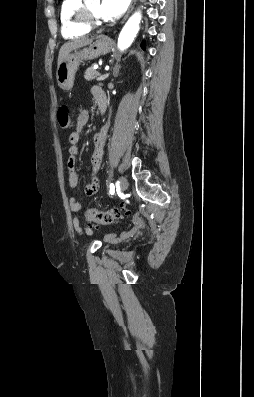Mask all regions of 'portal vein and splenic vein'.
Wrapping results in <instances>:
<instances>
[{"mask_svg": "<svg viewBox=\"0 0 254 397\" xmlns=\"http://www.w3.org/2000/svg\"><path fill=\"white\" fill-rule=\"evenodd\" d=\"M107 77H108V74L100 75V76L97 78V81L105 80Z\"/></svg>", "mask_w": 254, "mask_h": 397, "instance_id": "obj_1", "label": "portal vein and splenic vein"}]
</instances>
